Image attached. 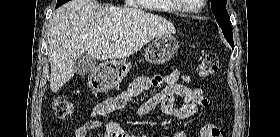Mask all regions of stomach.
Masks as SVG:
<instances>
[{
  "mask_svg": "<svg viewBox=\"0 0 280 137\" xmlns=\"http://www.w3.org/2000/svg\"><path fill=\"white\" fill-rule=\"evenodd\" d=\"M179 43L170 34L156 37L145 50V60L148 63L161 65L170 61L177 53ZM131 63L126 60H114L101 65L100 77L92 81L90 86L95 91H105L115 87L128 74Z\"/></svg>",
  "mask_w": 280,
  "mask_h": 137,
  "instance_id": "obj_1",
  "label": "stomach"
}]
</instances>
